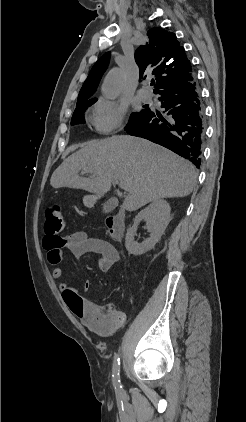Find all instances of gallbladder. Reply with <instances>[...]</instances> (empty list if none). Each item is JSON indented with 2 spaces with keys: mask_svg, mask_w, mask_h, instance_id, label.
I'll use <instances>...</instances> for the list:
<instances>
[{
  "mask_svg": "<svg viewBox=\"0 0 246 422\" xmlns=\"http://www.w3.org/2000/svg\"><path fill=\"white\" fill-rule=\"evenodd\" d=\"M117 206L118 200L114 197H111L103 204V211L105 213L112 212Z\"/></svg>",
  "mask_w": 246,
  "mask_h": 422,
  "instance_id": "bac80fb5",
  "label": "gallbladder"
}]
</instances>
